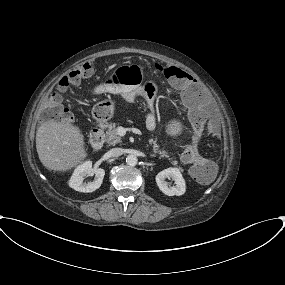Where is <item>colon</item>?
I'll list each match as a JSON object with an SVG mask.
<instances>
[{
  "label": "colon",
  "instance_id": "obj_1",
  "mask_svg": "<svg viewBox=\"0 0 285 285\" xmlns=\"http://www.w3.org/2000/svg\"><path fill=\"white\" fill-rule=\"evenodd\" d=\"M156 70L158 73L162 74L165 78L171 81H180L184 77L183 73L176 67H165L159 65L156 66ZM140 73L141 68L138 65L122 67L118 70L119 82H116L109 87L111 88L131 84L132 80L140 75ZM93 74L94 68L92 64L85 62L78 65L68 74L63 76L59 80L56 90H54L44 100L41 108L42 117L45 119L69 117L68 110L64 106V93L70 86L79 83L85 78L91 77ZM146 93L148 96L153 97L155 94V88H147ZM186 101L195 102L196 96L187 94ZM103 106V103H99L96 110H99ZM188 117L193 128V135L188 146L181 155V160L185 164H192L190 172L194 178L199 181H207L213 176L215 166L213 163L202 158L198 151L199 142L206 123L205 115L199 106H192L188 109Z\"/></svg>",
  "mask_w": 285,
  "mask_h": 285
}]
</instances>
